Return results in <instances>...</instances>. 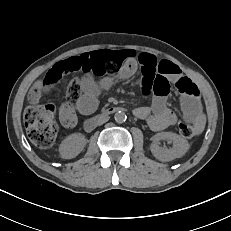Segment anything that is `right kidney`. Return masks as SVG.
Masks as SVG:
<instances>
[{"label":"right kidney","instance_id":"right-kidney-1","mask_svg":"<svg viewBox=\"0 0 231 231\" xmlns=\"http://www.w3.org/2000/svg\"><path fill=\"white\" fill-rule=\"evenodd\" d=\"M87 140L81 133H74L67 136L60 144V156L63 159L76 157L85 147Z\"/></svg>","mask_w":231,"mask_h":231}]
</instances>
